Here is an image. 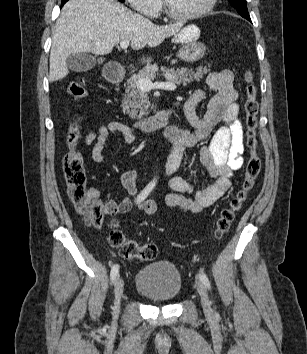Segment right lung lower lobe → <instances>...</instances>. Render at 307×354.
Here are the masks:
<instances>
[{
  "label": "right lung lower lobe",
  "mask_w": 307,
  "mask_h": 354,
  "mask_svg": "<svg viewBox=\"0 0 307 354\" xmlns=\"http://www.w3.org/2000/svg\"><path fill=\"white\" fill-rule=\"evenodd\" d=\"M68 0H62L61 6H63Z\"/></svg>",
  "instance_id": "1"
}]
</instances>
